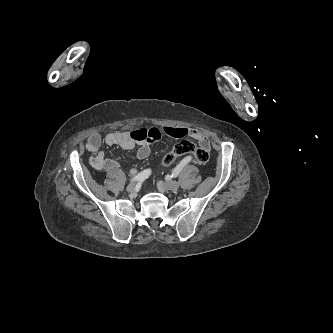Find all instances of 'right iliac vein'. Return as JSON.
<instances>
[{
    "instance_id": "obj_1",
    "label": "right iliac vein",
    "mask_w": 333,
    "mask_h": 333,
    "mask_svg": "<svg viewBox=\"0 0 333 333\" xmlns=\"http://www.w3.org/2000/svg\"><path fill=\"white\" fill-rule=\"evenodd\" d=\"M126 190L131 193V194H135L136 192V185L134 183H131L127 186Z\"/></svg>"
}]
</instances>
